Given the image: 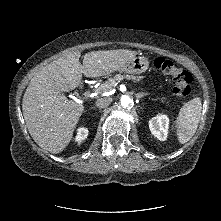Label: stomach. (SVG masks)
<instances>
[{
    "label": "stomach",
    "instance_id": "stomach-1",
    "mask_svg": "<svg viewBox=\"0 0 221 221\" xmlns=\"http://www.w3.org/2000/svg\"><path fill=\"white\" fill-rule=\"evenodd\" d=\"M149 67V61L144 56L133 57L119 71L130 74H141Z\"/></svg>",
    "mask_w": 221,
    "mask_h": 221
}]
</instances>
